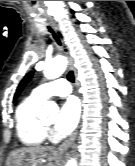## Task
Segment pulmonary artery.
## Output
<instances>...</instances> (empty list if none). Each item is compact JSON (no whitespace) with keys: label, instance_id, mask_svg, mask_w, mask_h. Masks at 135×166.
Returning a JSON list of instances; mask_svg holds the SVG:
<instances>
[{"label":"pulmonary artery","instance_id":"e3ab8cb5","mask_svg":"<svg viewBox=\"0 0 135 166\" xmlns=\"http://www.w3.org/2000/svg\"><path fill=\"white\" fill-rule=\"evenodd\" d=\"M71 93V86L68 81L59 79L57 81L42 84L36 87L32 94L42 100H46L52 96L65 97Z\"/></svg>","mask_w":135,"mask_h":166}]
</instances>
